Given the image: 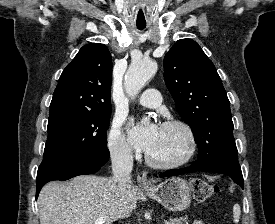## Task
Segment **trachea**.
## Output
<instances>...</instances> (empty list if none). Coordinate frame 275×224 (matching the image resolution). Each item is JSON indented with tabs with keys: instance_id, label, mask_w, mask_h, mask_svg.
<instances>
[{
	"instance_id": "1",
	"label": "trachea",
	"mask_w": 275,
	"mask_h": 224,
	"mask_svg": "<svg viewBox=\"0 0 275 224\" xmlns=\"http://www.w3.org/2000/svg\"><path fill=\"white\" fill-rule=\"evenodd\" d=\"M137 28H138L139 30H143V29L145 28V26H137Z\"/></svg>"
}]
</instances>
